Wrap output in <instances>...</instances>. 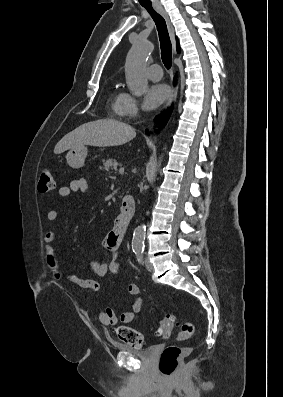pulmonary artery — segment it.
Segmentation results:
<instances>
[{
	"instance_id": "e3ab8cb5",
	"label": "pulmonary artery",
	"mask_w": 283,
	"mask_h": 397,
	"mask_svg": "<svg viewBox=\"0 0 283 397\" xmlns=\"http://www.w3.org/2000/svg\"><path fill=\"white\" fill-rule=\"evenodd\" d=\"M148 77L152 81H159L162 78V68L158 64H152L148 68Z\"/></svg>"
}]
</instances>
